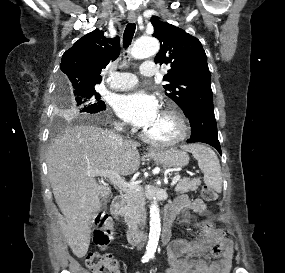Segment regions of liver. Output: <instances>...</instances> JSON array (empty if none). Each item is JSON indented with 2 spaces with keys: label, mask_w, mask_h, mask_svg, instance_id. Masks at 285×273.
<instances>
[{
  "label": "liver",
  "mask_w": 285,
  "mask_h": 273,
  "mask_svg": "<svg viewBox=\"0 0 285 273\" xmlns=\"http://www.w3.org/2000/svg\"><path fill=\"white\" fill-rule=\"evenodd\" d=\"M137 147L127 140L113 145L108 131L87 125L67 127L49 146V180L66 220L65 237L78 258L89 248V220L101 210L100 199L111 192L97 182L94 172L109 170L124 176L136 172L140 166Z\"/></svg>",
  "instance_id": "6515ba94"
}]
</instances>
